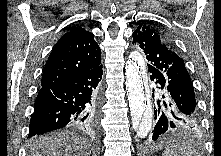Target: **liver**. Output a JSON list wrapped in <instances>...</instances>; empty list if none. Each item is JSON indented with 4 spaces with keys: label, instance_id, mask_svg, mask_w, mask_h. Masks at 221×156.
I'll list each match as a JSON object with an SVG mask.
<instances>
[{
    "label": "liver",
    "instance_id": "6515ba94",
    "mask_svg": "<svg viewBox=\"0 0 221 156\" xmlns=\"http://www.w3.org/2000/svg\"><path fill=\"white\" fill-rule=\"evenodd\" d=\"M91 145L70 132H55L31 142L28 156H90Z\"/></svg>",
    "mask_w": 221,
    "mask_h": 156
}]
</instances>
